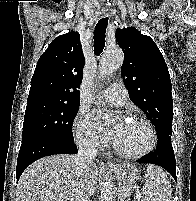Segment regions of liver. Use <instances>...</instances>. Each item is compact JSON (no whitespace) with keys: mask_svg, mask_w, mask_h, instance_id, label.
<instances>
[{"mask_svg":"<svg viewBox=\"0 0 196 201\" xmlns=\"http://www.w3.org/2000/svg\"><path fill=\"white\" fill-rule=\"evenodd\" d=\"M75 157L57 154L31 164L18 182L19 201H83L93 196L98 167L92 162L79 170Z\"/></svg>","mask_w":196,"mask_h":201,"instance_id":"1","label":"liver"}]
</instances>
